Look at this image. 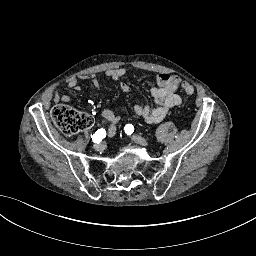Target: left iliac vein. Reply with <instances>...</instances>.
I'll use <instances>...</instances> for the list:
<instances>
[{
    "mask_svg": "<svg viewBox=\"0 0 256 256\" xmlns=\"http://www.w3.org/2000/svg\"><path fill=\"white\" fill-rule=\"evenodd\" d=\"M132 141L141 145V146H147L148 145V141L146 139H144L143 137L139 136V135H133L132 136Z\"/></svg>",
    "mask_w": 256,
    "mask_h": 256,
    "instance_id": "left-iliac-vein-1",
    "label": "left iliac vein"
}]
</instances>
